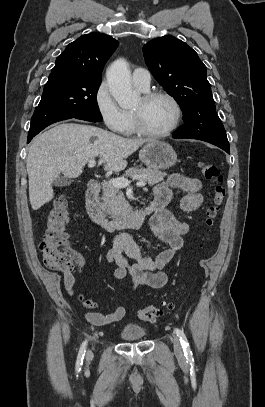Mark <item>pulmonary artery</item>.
I'll return each instance as SVG.
<instances>
[{"label": "pulmonary artery", "instance_id": "e3ab8cb5", "mask_svg": "<svg viewBox=\"0 0 265 407\" xmlns=\"http://www.w3.org/2000/svg\"><path fill=\"white\" fill-rule=\"evenodd\" d=\"M132 82L137 88L147 90L151 82L150 72L144 68L134 69L132 72Z\"/></svg>", "mask_w": 265, "mask_h": 407}]
</instances>
